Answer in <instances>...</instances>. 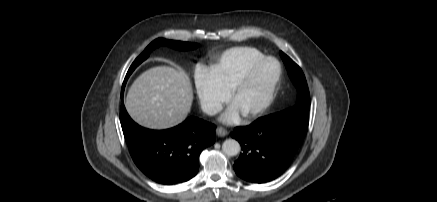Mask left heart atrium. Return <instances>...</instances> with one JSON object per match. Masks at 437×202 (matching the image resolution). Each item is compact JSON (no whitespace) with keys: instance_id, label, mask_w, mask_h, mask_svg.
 <instances>
[{"instance_id":"obj_1","label":"left heart atrium","mask_w":437,"mask_h":202,"mask_svg":"<svg viewBox=\"0 0 437 202\" xmlns=\"http://www.w3.org/2000/svg\"><path fill=\"white\" fill-rule=\"evenodd\" d=\"M241 115L242 112L239 107L235 103H232L223 114L222 121L225 123H234L240 119Z\"/></svg>"}]
</instances>
